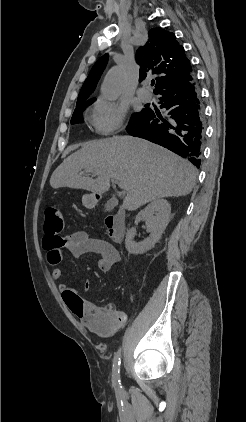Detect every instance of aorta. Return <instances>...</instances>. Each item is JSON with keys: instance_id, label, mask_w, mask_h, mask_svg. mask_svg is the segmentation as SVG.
<instances>
[{"instance_id": "obj_1", "label": "aorta", "mask_w": 246, "mask_h": 422, "mask_svg": "<svg viewBox=\"0 0 246 422\" xmlns=\"http://www.w3.org/2000/svg\"><path fill=\"white\" fill-rule=\"evenodd\" d=\"M125 79V72L121 68L110 69L101 87L102 97L109 101L116 100L123 91Z\"/></svg>"}]
</instances>
